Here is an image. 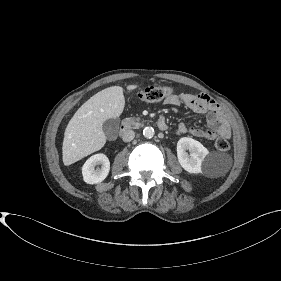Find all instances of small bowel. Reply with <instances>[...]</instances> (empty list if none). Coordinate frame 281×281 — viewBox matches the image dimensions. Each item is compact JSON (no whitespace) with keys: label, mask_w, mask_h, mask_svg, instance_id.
Segmentation results:
<instances>
[{"label":"small bowel","mask_w":281,"mask_h":281,"mask_svg":"<svg viewBox=\"0 0 281 281\" xmlns=\"http://www.w3.org/2000/svg\"><path fill=\"white\" fill-rule=\"evenodd\" d=\"M171 106L185 105L195 113L207 114L208 128L188 127L181 123L176 129L178 135L191 134L197 138L212 140L217 136L231 137V129L227 118L214 99L205 94H172L165 99Z\"/></svg>","instance_id":"small-bowel-1"}]
</instances>
